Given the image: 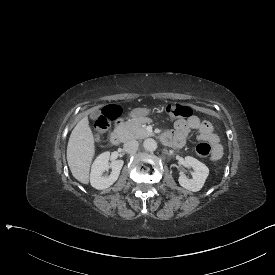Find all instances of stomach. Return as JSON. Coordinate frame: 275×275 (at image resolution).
Returning a JSON list of instances; mask_svg holds the SVG:
<instances>
[{
	"instance_id": "stomach-1",
	"label": "stomach",
	"mask_w": 275,
	"mask_h": 275,
	"mask_svg": "<svg viewBox=\"0 0 275 275\" xmlns=\"http://www.w3.org/2000/svg\"><path fill=\"white\" fill-rule=\"evenodd\" d=\"M151 113L150 109L147 108H135L131 111L130 117L132 118H142L146 117Z\"/></svg>"
}]
</instances>
